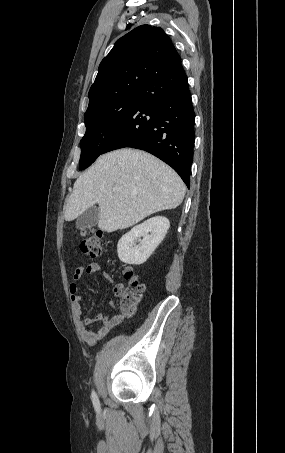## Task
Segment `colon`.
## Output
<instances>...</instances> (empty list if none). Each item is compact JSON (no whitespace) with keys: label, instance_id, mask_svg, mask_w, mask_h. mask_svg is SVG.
<instances>
[{"label":"colon","instance_id":"colon-1","mask_svg":"<svg viewBox=\"0 0 285 453\" xmlns=\"http://www.w3.org/2000/svg\"><path fill=\"white\" fill-rule=\"evenodd\" d=\"M85 238L81 242V251L92 259L98 258L102 252L104 232L100 229H90L82 233ZM127 287H118L117 296L120 298V307L125 314H133L141 302L145 285L139 281L130 267H125L123 272Z\"/></svg>","mask_w":285,"mask_h":453}]
</instances>
